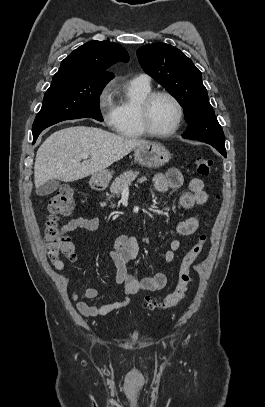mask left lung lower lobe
I'll return each instance as SVG.
<instances>
[{"instance_id":"left-lung-lower-lobe-1","label":"left lung lower lobe","mask_w":265,"mask_h":407,"mask_svg":"<svg viewBox=\"0 0 265 407\" xmlns=\"http://www.w3.org/2000/svg\"><path fill=\"white\" fill-rule=\"evenodd\" d=\"M215 148V147H214ZM223 156L226 157V152H224L223 150L219 149L218 147L216 148Z\"/></svg>"}]
</instances>
